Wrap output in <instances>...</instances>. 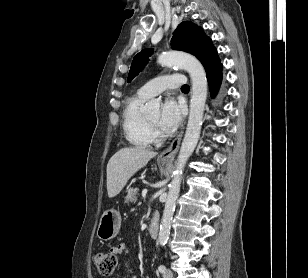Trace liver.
<instances>
[{
	"mask_svg": "<svg viewBox=\"0 0 308 278\" xmlns=\"http://www.w3.org/2000/svg\"><path fill=\"white\" fill-rule=\"evenodd\" d=\"M157 155L142 147H127L117 151L107 164L108 197L117 196L128 180Z\"/></svg>",
	"mask_w": 308,
	"mask_h": 278,
	"instance_id": "1",
	"label": "liver"
}]
</instances>
